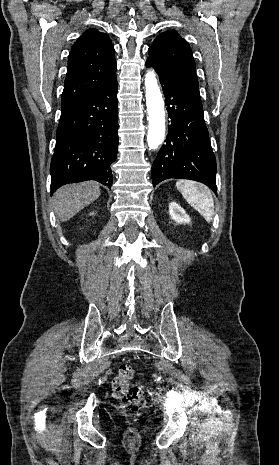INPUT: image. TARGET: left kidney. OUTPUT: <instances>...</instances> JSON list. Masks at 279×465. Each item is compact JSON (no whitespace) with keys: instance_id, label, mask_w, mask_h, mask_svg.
<instances>
[{"instance_id":"obj_1","label":"left kidney","mask_w":279,"mask_h":465,"mask_svg":"<svg viewBox=\"0 0 279 465\" xmlns=\"http://www.w3.org/2000/svg\"><path fill=\"white\" fill-rule=\"evenodd\" d=\"M169 215L178 224L190 222V217L186 214L185 210L176 202L169 204Z\"/></svg>"}]
</instances>
